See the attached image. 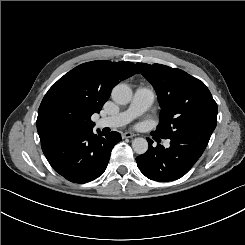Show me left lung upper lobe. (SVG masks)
<instances>
[{
    "label": "left lung upper lobe",
    "instance_id": "1",
    "mask_svg": "<svg viewBox=\"0 0 245 245\" xmlns=\"http://www.w3.org/2000/svg\"><path fill=\"white\" fill-rule=\"evenodd\" d=\"M156 90L160 123L153 133L163 139H184L207 146L217 124V104L203 82L161 64L137 63Z\"/></svg>",
    "mask_w": 245,
    "mask_h": 245
}]
</instances>
